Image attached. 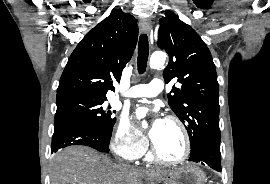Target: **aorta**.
<instances>
[{
  "label": "aorta",
  "instance_id": "aorta-1",
  "mask_svg": "<svg viewBox=\"0 0 270 184\" xmlns=\"http://www.w3.org/2000/svg\"><path fill=\"white\" fill-rule=\"evenodd\" d=\"M165 61H166V54L165 53L154 52L150 58V67L153 69H159V68L163 67V65L165 64ZM142 126L144 128H146L147 123L145 121L142 122Z\"/></svg>",
  "mask_w": 270,
  "mask_h": 184
}]
</instances>
